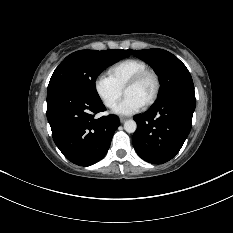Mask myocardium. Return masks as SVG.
Returning a JSON list of instances; mask_svg holds the SVG:
<instances>
[{
  "label": "myocardium",
  "mask_w": 233,
  "mask_h": 233,
  "mask_svg": "<svg viewBox=\"0 0 233 233\" xmlns=\"http://www.w3.org/2000/svg\"><path fill=\"white\" fill-rule=\"evenodd\" d=\"M147 77H152L154 79V83H155V87H154V91L153 94L151 95V97L147 100V102L144 104L145 107H149L151 106L158 98L159 94H160V90H161V81H160V77L158 75V73L150 68H147L139 73H137L136 75H134L124 86L123 88V92L125 93V91L128 88H131L133 86L138 85L140 82H142L145 78Z\"/></svg>",
  "instance_id": "obj_1"
}]
</instances>
